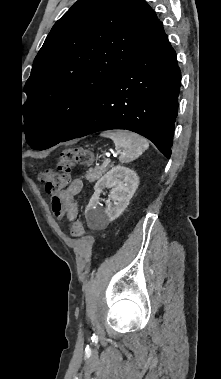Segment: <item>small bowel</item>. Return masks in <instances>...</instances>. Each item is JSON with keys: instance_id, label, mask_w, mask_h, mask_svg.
Returning a JSON list of instances; mask_svg holds the SVG:
<instances>
[{"instance_id": "1", "label": "small bowel", "mask_w": 221, "mask_h": 379, "mask_svg": "<svg viewBox=\"0 0 221 379\" xmlns=\"http://www.w3.org/2000/svg\"><path fill=\"white\" fill-rule=\"evenodd\" d=\"M83 183L80 179H74L65 190H50L52 209L59 218L65 216L73 220L78 213V197L82 193Z\"/></svg>"}]
</instances>
